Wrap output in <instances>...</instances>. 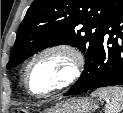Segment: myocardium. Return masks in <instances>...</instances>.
<instances>
[{
    "label": "myocardium",
    "instance_id": "obj_1",
    "mask_svg": "<svg viewBox=\"0 0 123 113\" xmlns=\"http://www.w3.org/2000/svg\"><path fill=\"white\" fill-rule=\"evenodd\" d=\"M50 56H62L66 61L65 73L44 92H35L28 84L27 77L31 67ZM85 64V57L82 51L75 45L67 42H60L43 47L34 53L26 62L22 70V83L27 92L36 98H46L74 84L82 75Z\"/></svg>",
    "mask_w": 123,
    "mask_h": 113
}]
</instances>
